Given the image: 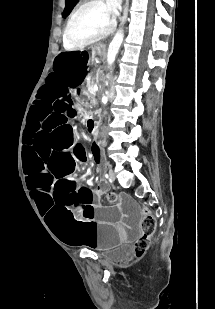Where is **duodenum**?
<instances>
[{
  "instance_id": "1",
  "label": "duodenum",
  "mask_w": 215,
  "mask_h": 309,
  "mask_svg": "<svg viewBox=\"0 0 215 309\" xmlns=\"http://www.w3.org/2000/svg\"><path fill=\"white\" fill-rule=\"evenodd\" d=\"M100 119V115L97 113L89 114L87 118V127L90 130H95L96 124Z\"/></svg>"
}]
</instances>
